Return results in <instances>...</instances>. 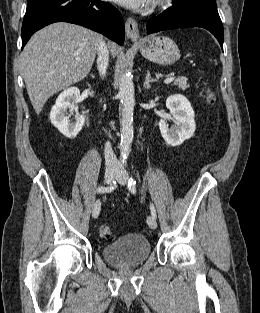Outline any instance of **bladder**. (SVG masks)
Returning a JSON list of instances; mask_svg holds the SVG:
<instances>
[{
    "label": "bladder",
    "mask_w": 260,
    "mask_h": 313,
    "mask_svg": "<svg viewBox=\"0 0 260 313\" xmlns=\"http://www.w3.org/2000/svg\"><path fill=\"white\" fill-rule=\"evenodd\" d=\"M102 254L107 262L117 267L138 266L151 255V246L144 235L134 233L106 245Z\"/></svg>",
    "instance_id": "31cf9c89"
}]
</instances>
